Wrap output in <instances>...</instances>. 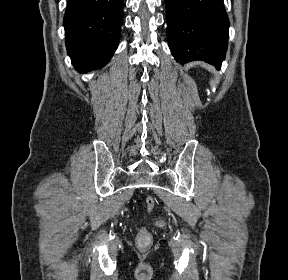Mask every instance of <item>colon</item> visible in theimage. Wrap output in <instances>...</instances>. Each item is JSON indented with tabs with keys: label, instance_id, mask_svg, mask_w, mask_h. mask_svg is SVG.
I'll return each instance as SVG.
<instances>
[{
	"label": "colon",
	"instance_id": "colon-1",
	"mask_svg": "<svg viewBox=\"0 0 288 280\" xmlns=\"http://www.w3.org/2000/svg\"><path fill=\"white\" fill-rule=\"evenodd\" d=\"M155 199L151 196L147 197L145 200L146 210L148 212L152 211L155 208ZM152 242V236L150 232L145 229L141 228L137 235V243L140 247L145 248L148 247Z\"/></svg>",
	"mask_w": 288,
	"mask_h": 280
}]
</instances>
